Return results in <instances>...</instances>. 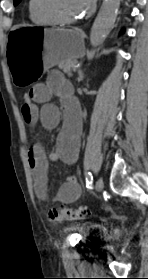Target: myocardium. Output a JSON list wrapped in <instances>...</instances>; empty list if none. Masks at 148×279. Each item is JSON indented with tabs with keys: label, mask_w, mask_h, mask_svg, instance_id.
<instances>
[{
	"label": "myocardium",
	"mask_w": 148,
	"mask_h": 279,
	"mask_svg": "<svg viewBox=\"0 0 148 279\" xmlns=\"http://www.w3.org/2000/svg\"><path fill=\"white\" fill-rule=\"evenodd\" d=\"M34 1H35L36 11L43 17L52 21L53 23L61 24V25H69V24L77 23L81 20L80 17H74V18L61 17L56 13L55 10L45 5V3L47 2L45 0H34Z\"/></svg>",
	"instance_id": "f54148a6"
}]
</instances>
